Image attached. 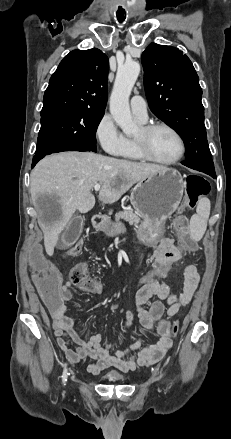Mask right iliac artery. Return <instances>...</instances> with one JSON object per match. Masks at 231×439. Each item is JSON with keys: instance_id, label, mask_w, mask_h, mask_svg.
I'll return each mask as SVG.
<instances>
[{"instance_id": "obj_1", "label": "right iliac artery", "mask_w": 231, "mask_h": 439, "mask_svg": "<svg viewBox=\"0 0 231 439\" xmlns=\"http://www.w3.org/2000/svg\"><path fill=\"white\" fill-rule=\"evenodd\" d=\"M67 375H68V373H67V368H66V365H65V368H64V371H63V375H62V380H63L64 384L67 381Z\"/></svg>"}]
</instances>
